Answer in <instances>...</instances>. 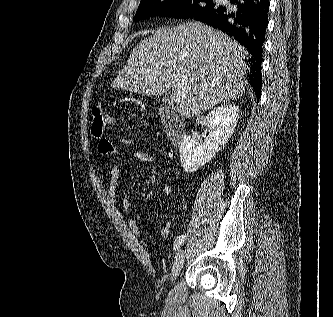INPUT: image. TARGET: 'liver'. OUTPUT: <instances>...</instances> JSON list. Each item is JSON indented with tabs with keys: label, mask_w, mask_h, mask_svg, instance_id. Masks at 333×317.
<instances>
[{
	"label": "liver",
	"mask_w": 333,
	"mask_h": 317,
	"mask_svg": "<svg viewBox=\"0 0 333 317\" xmlns=\"http://www.w3.org/2000/svg\"><path fill=\"white\" fill-rule=\"evenodd\" d=\"M246 54L223 32L186 22L159 29L142 40L112 86L147 96L179 87L185 96L176 110L182 117L193 118L243 95L248 84Z\"/></svg>",
	"instance_id": "6515ba94"
}]
</instances>
